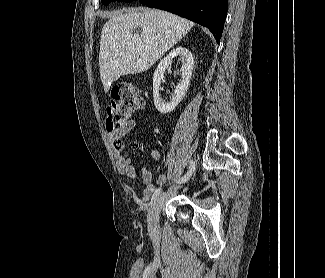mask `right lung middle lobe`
<instances>
[{"label": "right lung middle lobe", "instance_id": "1", "mask_svg": "<svg viewBox=\"0 0 325 278\" xmlns=\"http://www.w3.org/2000/svg\"><path fill=\"white\" fill-rule=\"evenodd\" d=\"M112 1H115V0H101L102 4H104V5H107ZM118 1L131 2V1H134V0H118Z\"/></svg>", "mask_w": 325, "mask_h": 278}]
</instances>
